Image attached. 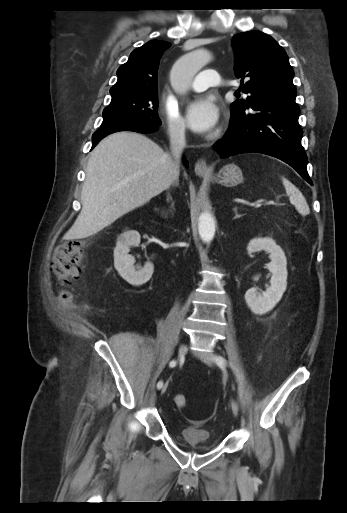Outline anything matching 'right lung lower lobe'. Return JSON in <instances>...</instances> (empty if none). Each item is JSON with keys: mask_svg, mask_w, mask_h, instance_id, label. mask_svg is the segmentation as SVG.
Masks as SVG:
<instances>
[{"mask_svg": "<svg viewBox=\"0 0 347 513\" xmlns=\"http://www.w3.org/2000/svg\"><path fill=\"white\" fill-rule=\"evenodd\" d=\"M158 126H152L143 124L140 122H119L108 126H102L92 136V149L98 144V142L105 136L118 132V131H134L139 133H149L157 130ZM184 163L187 164L184 159Z\"/></svg>", "mask_w": 347, "mask_h": 513, "instance_id": "right-lung-lower-lobe-1", "label": "right lung lower lobe"}]
</instances>
